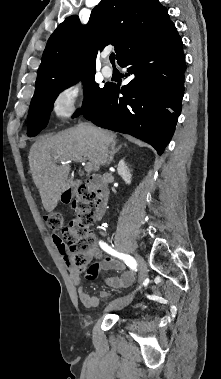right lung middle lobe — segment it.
I'll return each mask as SVG.
<instances>
[{
  "mask_svg": "<svg viewBox=\"0 0 221 379\" xmlns=\"http://www.w3.org/2000/svg\"><path fill=\"white\" fill-rule=\"evenodd\" d=\"M95 72L85 73L76 77L55 81L50 85L34 93L28 115V136H36L47 125L54 101L59 92L75 84L80 79L84 82V101L81 110H78L73 117L88 110L94 105L107 89V84L100 88L94 81Z\"/></svg>",
  "mask_w": 221,
  "mask_h": 379,
  "instance_id": "obj_1",
  "label": "right lung middle lobe"
}]
</instances>
